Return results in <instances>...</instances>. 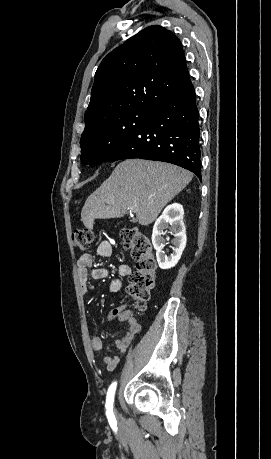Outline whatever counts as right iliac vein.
I'll return each mask as SVG.
<instances>
[{
    "label": "right iliac vein",
    "mask_w": 271,
    "mask_h": 459,
    "mask_svg": "<svg viewBox=\"0 0 271 459\" xmlns=\"http://www.w3.org/2000/svg\"><path fill=\"white\" fill-rule=\"evenodd\" d=\"M114 413H115L116 415H118V414H117V411H116V409H115V408H114Z\"/></svg>",
    "instance_id": "63e3f726"
}]
</instances>
